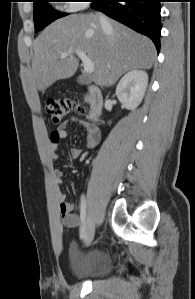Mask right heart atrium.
<instances>
[{
	"mask_svg": "<svg viewBox=\"0 0 195 299\" xmlns=\"http://www.w3.org/2000/svg\"><path fill=\"white\" fill-rule=\"evenodd\" d=\"M66 2H68V3H66L65 8L68 11H72V12L80 11L86 5L85 0H70V1H66Z\"/></svg>",
	"mask_w": 195,
	"mask_h": 299,
	"instance_id": "d8ad5b80",
	"label": "right heart atrium"
}]
</instances>
